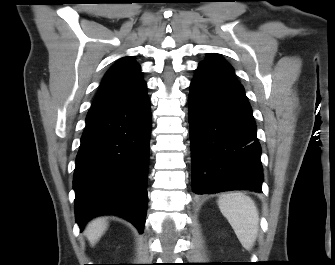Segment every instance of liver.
I'll return each mask as SVG.
<instances>
[{"instance_id":"liver-1","label":"liver","mask_w":335,"mask_h":265,"mask_svg":"<svg viewBox=\"0 0 335 265\" xmlns=\"http://www.w3.org/2000/svg\"><path fill=\"white\" fill-rule=\"evenodd\" d=\"M105 218H96L92 220L85 230V236L92 246H94L107 229Z\"/></svg>"}]
</instances>
